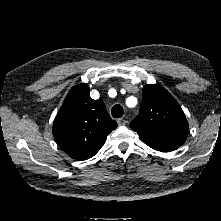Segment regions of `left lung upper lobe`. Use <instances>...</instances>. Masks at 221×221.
Segmentation results:
<instances>
[{"mask_svg":"<svg viewBox=\"0 0 221 221\" xmlns=\"http://www.w3.org/2000/svg\"><path fill=\"white\" fill-rule=\"evenodd\" d=\"M140 114L130 123L139 136L185 141L188 122L171 94L160 85L148 84L142 91Z\"/></svg>","mask_w":221,"mask_h":221,"instance_id":"obj_1","label":"left lung upper lobe"}]
</instances>
